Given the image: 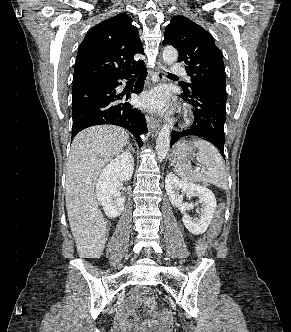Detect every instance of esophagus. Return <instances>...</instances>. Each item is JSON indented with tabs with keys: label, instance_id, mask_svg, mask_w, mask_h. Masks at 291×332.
<instances>
[{
	"label": "esophagus",
	"instance_id": "34e87169",
	"mask_svg": "<svg viewBox=\"0 0 291 332\" xmlns=\"http://www.w3.org/2000/svg\"><path fill=\"white\" fill-rule=\"evenodd\" d=\"M163 81H165V65L162 60H159L156 66L155 82L159 83ZM147 122L150 133L152 134V136H156L160 126L159 120L153 116H149Z\"/></svg>",
	"mask_w": 291,
	"mask_h": 332
}]
</instances>
